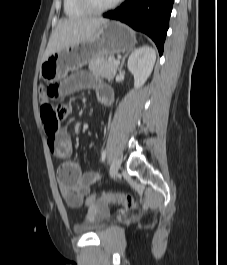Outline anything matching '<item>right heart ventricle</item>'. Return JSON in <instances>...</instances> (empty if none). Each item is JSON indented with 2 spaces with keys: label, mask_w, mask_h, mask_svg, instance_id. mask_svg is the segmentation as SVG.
Masks as SVG:
<instances>
[{
  "label": "right heart ventricle",
  "mask_w": 227,
  "mask_h": 265,
  "mask_svg": "<svg viewBox=\"0 0 227 265\" xmlns=\"http://www.w3.org/2000/svg\"><path fill=\"white\" fill-rule=\"evenodd\" d=\"M64 13L71 18L86 15L88 12L81 8L77 0H63Z\"/></svg>",
  "instance_id": "obj_1"
}]
</instances>
